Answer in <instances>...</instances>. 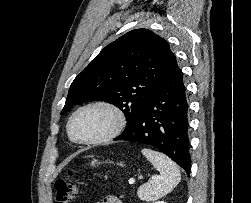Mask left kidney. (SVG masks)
Masks as SVG:
<instances>
[{
	"instance_id": "left-kidney-1",
	"label": "left kidney",
	"mask_w": 251,
	"mask_h": 203,
	"mask_svg": "<svg viewBox=\"0 0 251 203\" xmlns=\"http://www.w3.org/2000/svg\"><path fill=\"white\" fill-rule=\"evenodd\" d=\"M155 203H166V202H164V201H157V202H155Z\"/></svg>"
}]
</instances>
